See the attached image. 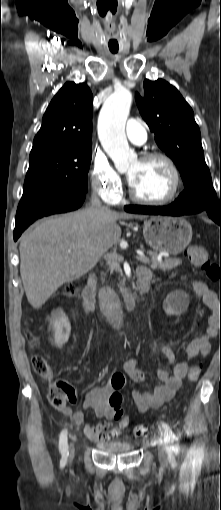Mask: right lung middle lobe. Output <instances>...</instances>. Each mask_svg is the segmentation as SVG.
I'll list each match as a JSON object with an SVG mask.
<instances>
[{
	"mask_svg": "<svg viewBox=\"0 0 221 510\" xmlns=\"http://www.w3.org/2000/svg\"><path fill=\"white\" fill-rule=\"evenodd\" d=\"M91 145L30 156L18 210L28 216L86 194Z\"/></svg>",
	"mask_w": 221,
	"mask_h": 510,
	"instance_id": "dd1d6c3e",
	"label": "right lung middle lobe"
}]
</instances>
